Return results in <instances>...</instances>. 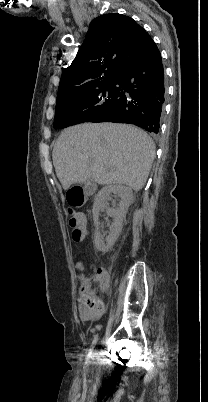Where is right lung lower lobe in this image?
<instances>
[{"mask_svg":"<svg viewBox=\"0 0 208 402\" xmlns=\"http://www.w3.org/2000/svg\"><path fill=\"white\" fill-rule=\"evenodd\" d=\"M114 84V107L84 122L128 123L157 134L165 101L164 69L161 54L148 33L127 59ZM74 124L78 123L61 124L58 128Z\"/></svg>","mask_w":208,"mask_h":402,"instance_id":"obj_1","label":"right lung lower lobe"}]
</instances>
